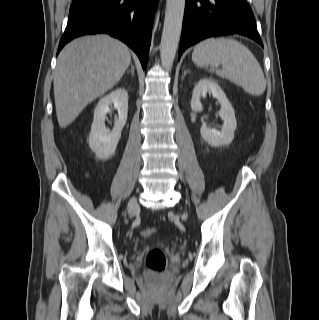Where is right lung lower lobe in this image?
<instances>
[{"label":"right lung lower lobe","mask_w":319,"mask_h":320,"mask_svg":"<svg viewBox=\"0 0 319 320\" xmlns=\"http://www.w3.org/2000/svg\"><path fill=\"white\" fill-rule=\"evenodd\" d=\"M158 0H74L57 54L72 39L107 33L125 42L145 69Z\"/></svg>","instance_id":"right-lung-lower-lobe-1"}]
</instances>
